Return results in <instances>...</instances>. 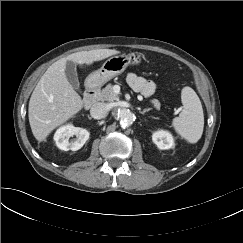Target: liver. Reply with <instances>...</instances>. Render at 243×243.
Instances as JSON below:
<instances>
[{
	"label": "liver",
	"instance_id": "obj_1",
	"mask_svg": "<svg viewBox=\"0 0 243 243\" xmlns=\"http://www.w3.org/2000/svg\"><path fill=\"white\" fill-rule=\"evenodd\" d=\"M119 53L115 49L81 51L49 66L37 83L28 106L30 127L39 142L44 141L55 128L76 115L84 106L81 96L67 80L66 62L91 65Z\"/></svg>",
	"mask_w": 243,
	"mask_h": 243
}]
</instances>
